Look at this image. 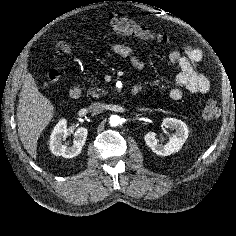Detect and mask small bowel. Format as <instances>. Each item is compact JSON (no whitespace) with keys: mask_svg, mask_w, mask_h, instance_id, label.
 Masks as SVG:
<instances>
[{"mask_svg":"<svg viewBox=\"0 0 236 236\" xmlns=\"http://www.w3.org/2000/svg\"><path fill=\"white\" fill-rule=\"evenodd\" d=\"M111 50L116 55L129 60L135 68L142 69L144 67V61L135 56L129 46L114 43ZM202 56L200 49L190 45L184 46L181 51L175 50L170 54V61L179 69L176 75L178 86L172 88L168 93L171 100H180L183 96V89L191 94H205L210 90V82L207 77L197 71V65L202 60ZM134 89L139 93L142 87L137 85Z\"/></svg>","mask_w":236,"mask_h":236,"instance_id":"small-bowel-1","label":"small bowel"}]
</instances>
